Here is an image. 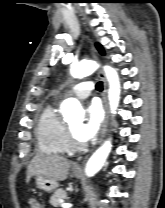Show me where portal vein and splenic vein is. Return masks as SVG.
<instances>
[{
	"label": "portal vein and splenic vein",
	"mask_w": 165,
	"mask_h": 208,
	"mask_svg": "<svg viewBox=\"0 0 165 208\" xmlns=\"http://www.w3.org/2000/svg\"><path fill=\"white\" fill-rule=\"evenodd\" d=\"M61 207H62V208H71V207H72V204H71V203H64V202H63V203L61 204Z\"/></svg>",
	"instance_id": "1"
}]
</instances>
